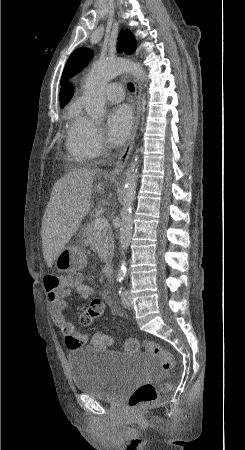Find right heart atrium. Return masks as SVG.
<instances>
[{
    "instance_id": "obj_1",
    "label": "right heart atrium",
    "mask_w": 245,
    "mask_h": 450,
    "mask_svg": "<svg viewBox=\"0 0 245 450\" xmlns=\"http://www.w3.org/2000/svg\"><path fill=\"white\" fill-rule=\"evenodd\" d=\"M106 149L104 135L95 121L79 114L73 123L71 150L78 156L92 159Z\"/></svg>"
}]
</instances>
